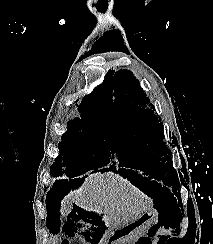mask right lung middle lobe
<instances>
[{
	"label": "right lung middle lobe",
	"instance_id": "1",
	"mask_svg": "<svg viewBox=\"0 0 213 244\" xmlns=\"http://www.w3.org/2000/svg\"><path fill=\"white\" fill-rule=\"evenodd\" d=\"M79 112L80 118L68 122L67 131L59 143L61 155L51 166V174L55 177H62L63 174L74 177L107 165L114 159L115 153L119 156V162L124 159L119 152L125 153V147L119 148L110 143L108 114L81 110ZM113 164L116 163L113 161Z\"/></svg>",
	"mask_w": 213,
	"mask_h": 244
}]
</instances>
